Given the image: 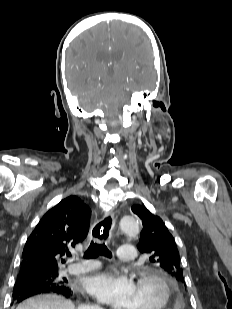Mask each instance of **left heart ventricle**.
Listing matches in <instances>:
<instances>
[{
	"label": "left heart ventricle",
	"mask_w": 232,
	"mask_h": 309,
	"mask_svg": "<svg viewBox=\"0 0 232 309\" xmlns=\"http://www.w3.org/2000/svg\"><path fill=\"white\" fill-rule=\"evenodd\" d=\"M161 299L162 291L157 284L151 281L136 283L131 309H155L160 305Z\"/></svg>",
	"instance_id": "1"
}]
</instances>
